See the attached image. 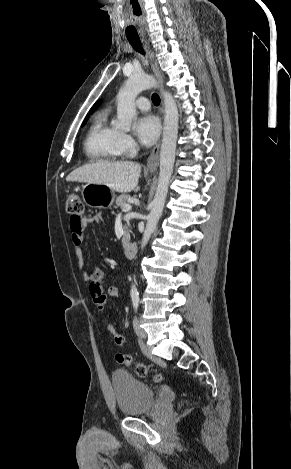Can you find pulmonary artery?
<instances>
[{"label":"pulmonary artery","mask_w":291,"mask_h":469,"mask_svg":"<svg viewBox=\"0 0 291 469\" xmlns=\"http://www.w3.org/2000/svg\"><path fill=\"white\" fill-rule=\"evenodd\" d=\"M135 105L138 109L143 110V111H147L150 108L149 101L146 97H139L135 101Z\"/></svg>","instance_id":"obj_1"}]
</instances>
